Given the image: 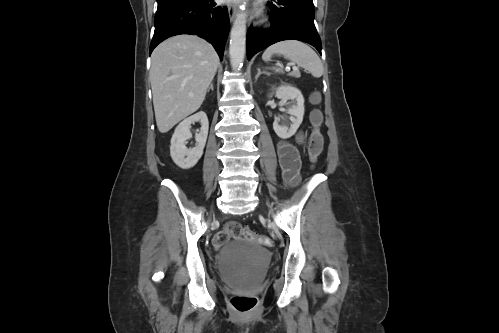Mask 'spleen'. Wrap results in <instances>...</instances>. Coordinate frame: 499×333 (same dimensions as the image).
Instances as JSON below:
<instances>
[{
	"mask_svg": "<svg viewBox=\"0 0 499 333\" xmlns=\"http://www.w3.org/2000/svg\"><path fill=\"white\" fill-rule=\"evenodd\" d=\"M273 55H282L285 59L308 70L314 77L318 78L323 75L324 67L318 55L308 45L300 41L286 40L273 44L264 51L262 59L265 62L270 61ZM275 71L283 72L282 68H277Z\"/></svg>",
	"mask_w": 499,
	"mask_h": 333,
	"instance_id": "1",
	"label": "spleen"
}]
</instances>
